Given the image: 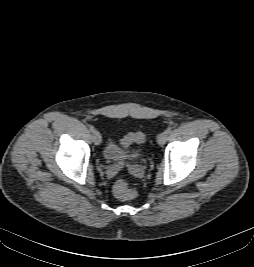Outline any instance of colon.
I'll return each instance as SVG.
<instances>
[{
	"instance_id": "5ec220e1",
	"label": "colon",
	"mask_w": 254,
	"mask_h": 267,
	"mask_svg": "<svg viewBox=\"0 0 254 267\" xmlns=\"http://www.w3.org/2000/svg\"><path fill=\"white\" fill-rule=\"evenodd\" d=\"M144 140L145 134L143 132L130 133L123 138L122 145L127 148L134 143H141ZM113 192L116 197L122 200H131L136 196L135 190L131 188L125 179H120L114 184Z\"/></svg>"
}]
</instances>
